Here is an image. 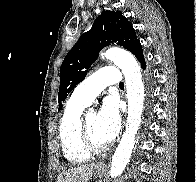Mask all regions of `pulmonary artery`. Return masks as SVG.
I'll list each match as a JSON object with an SVG mask.
<instances>
[{
    "label": "pulmonary artery",
    "mask_w": 196,
    "mask_h": 182,
    "mask_svg": "<svg viewBox=\"0 0 196 182\" xmlns=\"http://www.w3.org/2000/svg\"><path fill=\"white\" fill-rule=\"evenodd\" d=\"M119 83H121V74L117 68L102 67L76 86L72 98L88 105L104 88Z\"/></svg>",
    "instance_id": "obj_1"
}]
</instances>
